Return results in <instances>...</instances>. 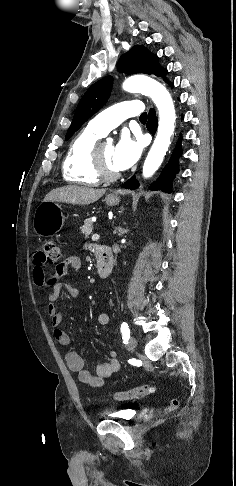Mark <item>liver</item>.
<instances>
[{"label": "liver", "mask_w": 236, "mask_h": 486, "mask_svg": "<svg viewBox=\"0 0 236 486\" xmlns=\"http://www.w3.org/2000/svg\"><path fill=\"white\" fill-rule=\"evenodd\" d=\"M105 191V189L69 185L53 189L45 196L44 201L88 205L100 199Z\"/></svg>", "instance_id": "1"}]
</instances>
